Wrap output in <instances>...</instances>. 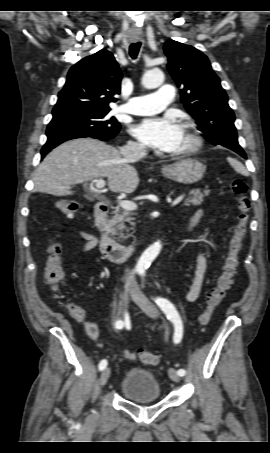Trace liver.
Returning a JSON list of instances; mask_svg holds the SVG:
<instances>
[{"instance_id": "1", "label": "liver", "mask_w": 270, "mask_h": 453, "mask_svg": "<svg viewBox=\"0 0 270 453\" xmlns=\"http://www.w3.org/2000/svg\"><path fill=\"white\" fill-rule=\"evenodd\" d=\"M108 178L113 192L130 194L139 184L137 170L113 146L92 139L67 141L53 149L37 167L34 192L72 195L73 185Z\"/></svg>"}]
</instances>
